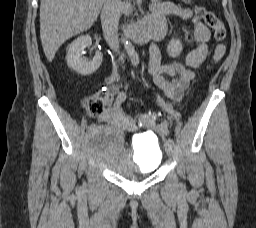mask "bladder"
<instances>
[{"instance_id": "bladder-1", "label": "bladder", "mask_w": 256, "mask_h": 228, "mask_svg": "<svg viewBox=\"0 0 256 228\" xmlns=\"http://www.w3.org/2000/svg\"><path fill=\"white\" fill-rule=\"evenodd\" d=\"M88 148L95 160L125 179L153 173L162 159L157 139H139L135 150L129 151L124 147L122 133L109 127H97L89 136Z\"/></svg>"}]
</instances>
